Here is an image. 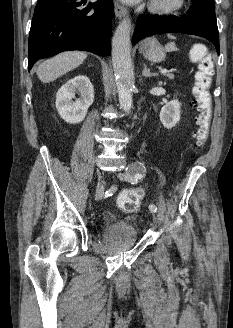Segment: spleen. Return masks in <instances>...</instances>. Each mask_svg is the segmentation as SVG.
<instances>
[{
  "instance_id": "1",
  "label": "spleen",
  "mask_w": 233,
  "mask_h": 328,
  "mask_svg": "<svg viewBox=\"0 0 233 328\" xmlns=\"http://www.w3.org/2000/svg\"><path fill=\"white\" fill-rule=\"evenodd\" d=\"M165 50L170 52V51H176L178 50V48L176 47L174 42H170L165 46ZM195 50H197V48H195Z\"/></svg>"
}]
</instances>
